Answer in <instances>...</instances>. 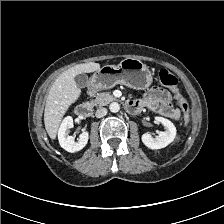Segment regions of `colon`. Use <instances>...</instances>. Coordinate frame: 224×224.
I'll return each instance as SVG.
<instances>
[{
    "label": "colon",
    "mask_w": 224,
    "mask_h": 224,
    "mask_svg": "<svg viewBox=\"0 0 224 224\" xmlns=\"http://www.w3.org/2000/svg\"><path fill=\"white\" fill-rule=\"evenodd\" d=\"M158 78L162 85L168 87L172 91L174 98L176 99L177 104L182 113L184 122L188 123V121H189V106H188L186 100L182 97V95L179 92L177 78L166 69H160V71L158 73Z\"/></svg>",
    "instance_id": "1"
}]
</instances>
